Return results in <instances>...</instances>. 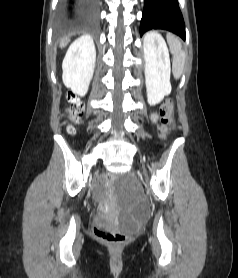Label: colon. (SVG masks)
<instances>
[{
  "label": "colon",
  "mask_w": 238,
  "mask_h": 278,
  "mask_svg": "<svg viewBox=\"0 0 238 278\" xmlns=\"http://www.w3.org/2000/svg\"><path fill=\"white\" fill-rule=\"evenodd\" d=\"M68 101L71 104L69 107V112L71 114L72 121L74 124H76L79 122V119L83 114V109L81 105L78 103L74 95H69ZM172 114H173L172 102L166 101L162 105L160 110V115H161L160 133L162 135H164L168 131V127L172 122ZM68 130L70 133H73L75 130L74 126L73 125L69 126ZM103 181L105 182L104 184L105 188H108L109 185H114L113 174H104ZM94 233L99 239L116 246L124 244L128 239V235L124 231L118 228L107 227L99 223L94 225Z\"/></svg>",
  "instance_id": "1"
}]
</instances>
